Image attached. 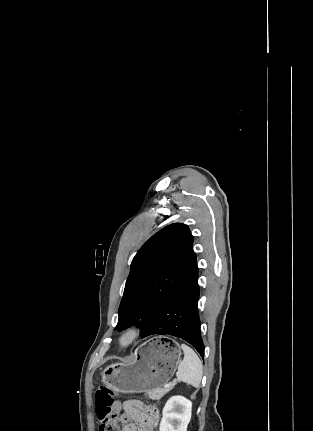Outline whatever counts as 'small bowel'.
<instances>
[{"label": "small bowel", "mask_w": 313, "mask_h": 431, "mask_svg": "<svg viewBox=\"0 0 313 431\" xmlns=\"http://www.w3.org/2000/svg\"><path fill=\"white\" fill-rule=\"evenodd\" d=\"M113 410L120 413L121 431H154L156 418L150 409L140 401L127 400L123 403L116 401Z\"/></svg>", "instance_id": "c3829d8e"}]
</instances>
